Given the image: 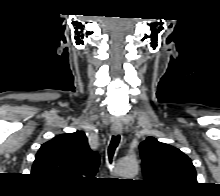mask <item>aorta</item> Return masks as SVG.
<instances>
[{
  "mask_svg": "<svg viewBox=\"0 0 220 196\" xmlns=\"http://www.w3.org/2000/svg\"><path fill=\"white\" fill-rule=\"evenodd\" d=\"M139 166L136 160L122 159L116 166V172L121 177H132L138 172Z\"/></svg>",
  "mask_w": 220,
  "mask_h": 196,
  "instance_id": "obj_1",
  "label": "aorta"
}]
</instances>
